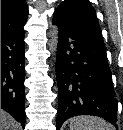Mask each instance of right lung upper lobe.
<instances>
[{
  "instance_id": "cb5924a9",
  "label": "right lung upper lobe",
  "mask_w": 123,
  "mask_h": 130,
  "mask_svg": "<svg viewBox=\"0 0 123 130\" xmlns=\"http://www.w3.org/2000/svg\"><path fill=\"white\" fill-rule=\"evenodd\" d=\"M27 17L26 0H1V29L24 26Z\"/></svg>"
}]
</instances>
